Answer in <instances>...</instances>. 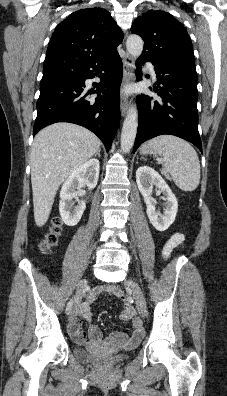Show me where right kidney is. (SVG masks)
<instances>
[{
	"mask_svg": "<svg viewBox=\"0 0 227 396\" xmlns=\"http://www.w3.org/2000/svg\"><path fill=\"white\" fill-rule=\"evenodd\" d=\"M99 161L90 159L76 168L65 180L60 191L59 212L67 226H75L86 208L84 201L79 200L80 188L86 185L89 189L96 187L99 178ZM78 202L74 205L75 201Z\"/></svg>",
	"mask_w": 227,
	"mask_h": 396,
	"instance_id": "obj_1",
	"label": "right kidney"
}]
</instances>
